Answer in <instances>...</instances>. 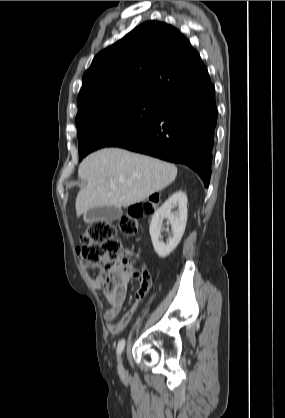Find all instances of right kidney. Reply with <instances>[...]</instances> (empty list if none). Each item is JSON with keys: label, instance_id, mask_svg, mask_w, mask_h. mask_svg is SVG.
<instances>
[{"label": "right kidney", "instance_id": "ca27d5eb", "mask_svg": "<svg viewBox=\"0 0 285 418\" xmlns=\"http://www.w3.org/2000/svg\"><path fill=\"white\" fill-rule=\"evenodd\" d=\"M178 208L177 212L171 210ZM167 218L172 227V236L162 243L161 228L163 219ZM187 222V196L184 192L178 191L154 213L149 231L155 252L159 257H167L179 244L186 227Z\"/></svg>", "mask_w": 285, "mask_h": 418}]
</instances>
